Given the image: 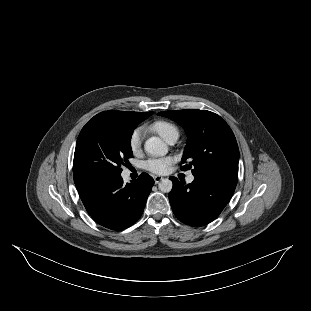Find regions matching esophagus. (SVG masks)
Returning <instances> with one entry per match:
<instances>
[{
	"instance_id": "34e87169",
	"label": "esophagus",
	"mask_w": 311,
	"mask_h": 311,
	"mask_svg": "<svg viewBox=\"0 0 311 311\" xmlns=\"http://www.w3.org/2000/svg\"><path fill=\"white\" fill-rule=\"evenodd\" d=\"M153 179H154L155 184H158L163 179V177L156 175V176H153Z\"/></svg>"
}]
</instances>
